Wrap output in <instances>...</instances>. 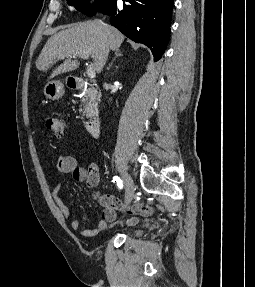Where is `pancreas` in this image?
Instances as JSON below:
<instances>
[{"mask_svg": "<svg viewBox=\"0 0 255 287\" xmlns=\"http://www.w3.org/2000/svg\"><path fill=\"white\" fill-rule=\"evenodd\" d=\"M80 94H83L81 98V106H83V116L86 118H93L96 116V108H98V102H100V94H98L95 88H87V90H81Z\"/></svg>", "mask_w": 255, "mask_h": 287, "instance_id": "obj_1", "label": "pancreas"}]
</instances>
